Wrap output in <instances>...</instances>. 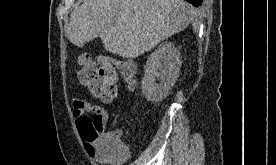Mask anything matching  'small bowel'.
<instances>
[{
  "mask_svg": "<svg viewBox=\"0 0 276 165\" xmlns=\"http://www.w3.org/2000/svg\"><path fill=\"white\" fill-rule=\"evenodd\" d=\"M89 113L94 114L93 120L98 122L104 131V127L109 119V113L103 105L86 100L76 99L73 101V116L77 123L82 117L87 116ZM109 134H111L119 143L120 149L122 150L121 155L109 151L103 142L94 144L93 146L85 144V148L88 154L99 163H121L127 159L129 154L128 148L122 142L123 132L122 130L117 129Z\"/></svg>",
  "mask_w": 276,
  "mask_h": 165,
  "instance_id": "obj_1",
  "label": "small bowel"
}]
</instances>
